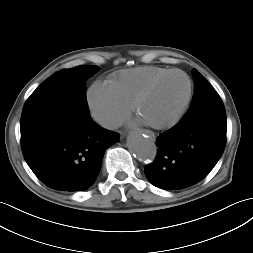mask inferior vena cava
Returning <instances> with one entry per match:
<instances>
[{"label": "inferior vena cava", "mask_w": 253, "mask_h": 253, "mask_svg": "<svg viewBox=\"0 0 253 253\" xmlns=\"http://www.w3.org/2000/svg\"><path fill=\"white\" fill-rule=\"evenodd\" d=\"M97 121L105 128L113 129L117 128L120 123L115 121L112 117L109 116H101L97 119Z\"/></svg>", "instance_id": "602c4592"}]
</instances>
